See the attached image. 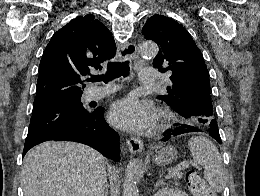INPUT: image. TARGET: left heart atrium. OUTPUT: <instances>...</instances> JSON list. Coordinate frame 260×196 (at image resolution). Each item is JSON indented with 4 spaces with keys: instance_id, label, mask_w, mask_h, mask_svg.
<instances>
[{
    "instance_id": "left-heart-atrium-1",
    "label": "left heart atrium",
    "mask_w": 260,
    "mask_h": 196,
    "mask_svg": "<svg viewBox=\"0 0 260 196\" xmlns=\"http://www.w3.org/2000/svg\"><path fill=\"white\" fill-rule=\"evenodd\" d=\"M154 117V108L149 103L132 96L118 100L110 110V120L114 125L133 132L147 129Z\"/></svg>"
}]
</instances>
